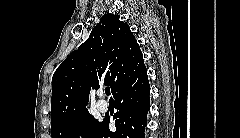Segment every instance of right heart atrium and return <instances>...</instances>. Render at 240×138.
<instances>
[{"mask_svg": "<svg viewBox=\"0 0 240 138\" xmlns=\"http://www.w3.org/2000/svg\"><path fill=\"white\" fill-rule=\"evenodd\" d=\"M72 138H82L86 135L85 129L82 127L75 129L71 134Z\"/></svg>", "mask_w": 240, "mask_h": 138, "instance_id": "d8ad5b80", "label": "right heart atrium"}]
</instances>
